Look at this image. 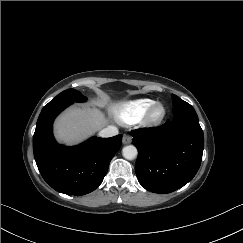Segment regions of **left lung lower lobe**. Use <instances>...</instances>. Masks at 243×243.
Returning a JSON list of instances; mask_svg holds the SVG:
<instances>
[{
	"label": "left lung lower lobe",
	"instance_id": "0a47b994",
	"mask_svg": "<svg viewBox=\"0 0 243 243\" xmlns=\"http://www.w3.org/2000/svg\"><path fill=\"white\" fill-rule=\"evenodd\" d=\"M131 133L138 149L136 175L145 189L170 193L187 184L197 173L204 148L198 118L174 116L162 126Z\"/></svg>",
	"mask_w": 243,
	"mask_h": 243
}]
</instances>
